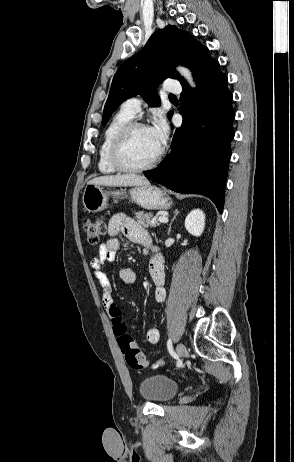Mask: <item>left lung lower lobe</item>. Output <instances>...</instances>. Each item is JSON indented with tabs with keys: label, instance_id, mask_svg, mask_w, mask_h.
<instances>
[{
	"label": "left lung lower lobe",
	"instance_id": "obj_1",
	"mask_svg": "<svg viewBox=\"0 0 294 462\" xmlns=\"http://www.w3.org/2000/svg\"><path fill=\"white\" fill-rule=\"evenodd\" d=\"M194 79L195 91L181 83L183 123L175 131L170 154L158 168L144 174L176 192L205 195L222 213L234 137L232 94L216 60L206 63Z\"/></svg>",
	"mask_w": 294,
	"mask_h": 462
}]
</instances>
